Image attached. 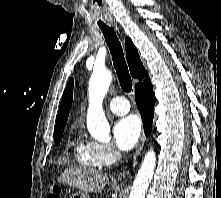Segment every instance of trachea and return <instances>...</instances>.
Returning a JSON list of instances; mask_svg holds the SVG:
<instances>
[{
  "label": "trachea",
  "instance_id": "obj_1",
  "mask_svg": "<svg viewBox=\"0 0 221 198\" xmlns=\"http://www.w3.org/2000/svg\"><path fill=\"white\" fill-rule=\"evenodd\" d=\"M100 29L103 32L106 43L111 52L113 64L119 79L120 86L125 92L132 93L133 84L125 61L121 43L112 28L100 27Z\"/></svg>",
  "mask_w": 221,
  "mask_h": 198
}]
</instances>
